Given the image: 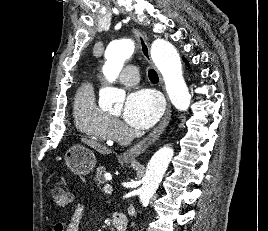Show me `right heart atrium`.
Returning a JSON list of instances; mask_svg holds the SVG:
<instances>
[{"mask_svg": "<svg viewBox=\"0 0 268 231\" xmlns=\"http://www.w3.org/2000/svg\"><path fill=\"white\" fill-rule=\"evenodd\" d=\"M123 130H124L123 124L119 120L114 119L113 120V127H112L113 140H116L117 137L123 132Z\"/></svg>", "mask_w": 268, "mask_h": 231, "instance_id": "obj_1", "label": "right heart atrium"}]
</instances>
